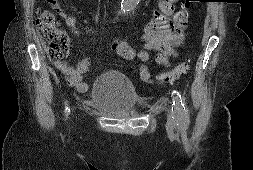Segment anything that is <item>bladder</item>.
<instances>
[{"mask_svg":"<svg viewBox=\"0 0 253 170\" xmlns=\"http://www.w3.org/2000/svg\"><path fill=\"white\" fill-rule=\"evenodd\" d=\"M89 102L105 115L124 117L139 109V96L130 79L116 70L103 71L94 81Z\"/></svg>","mask_w":253,"mask_h":170,"instance_id":"obj_1","label":"bladder"}]
</instances>
